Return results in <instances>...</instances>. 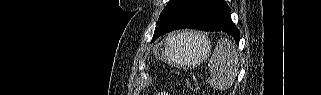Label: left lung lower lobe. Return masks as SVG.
Masks as SVG:
<instances>
[{
    "label": "left lung lower lobe",
    "instance_id": "0a47b994",
    "mask_svg": "<svg viewBox=\"0 0 321 95\" xmlns=\"http://www.w3.org/2000/svg\"><path fill=\"white\" fill-rule=\"evenodd\" d=\"M224 0H173L155 28L152 41L170 31L193 28L223 31L239 42L240 33L230 17Z\"/></svg>",
    "mask_w": 321,
    "mask_h": 95
}]
</instances>
